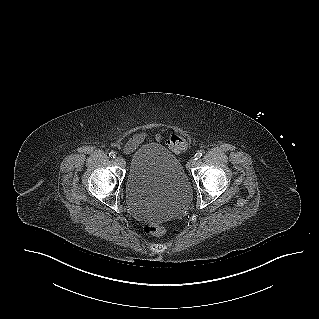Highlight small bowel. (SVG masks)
<instances>
[{"instance_id":"obj_1","label":"small bowel","mask_w":319,"mask_h":319,"mask_svg":"<svg viewBox=\"0 0 319 319\" xmlns=\"http://www.w3.org/2000/svg\"><path fill=\"white\" fill-rule=\"evenodd\" d=\"M145 139V134L140 133L131 138L125 145V151L131 152L133 151L139 143H141Z\"/></svg>"}]
</instances>
